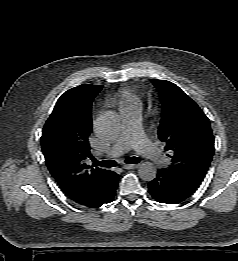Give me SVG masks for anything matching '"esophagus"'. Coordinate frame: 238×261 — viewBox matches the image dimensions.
Segmentation results:
<instances>
[{
	"mask_svg": "<svg viewBox=\"0 0 238 261\" xmlns=\"http://www.w3.org/2000/svg\"><path fill=\"white\" fill-rule=\"evenodd\" d=\"M138 164H124L123 165V168L124 169H135V168H138Z\"/></svg>",
	"mask_w": 238,
	"mask_h": 261,
	"instance_id": "obj_1",
	"label": "esophagus"
}]
</instances>
